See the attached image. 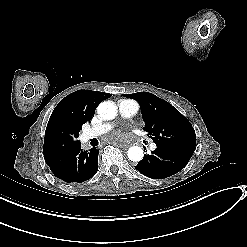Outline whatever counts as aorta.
I'll list each match as a JSON object with an SVG mask.
<instances>
[{
  "label": "aorta",
  "mask_w": 247,
  "mask_h": 247,
  "mask_svg": "<svg viewBox=\"0 0 247 247\" xmlns=\"http://www.w3.org/2000/svg\"><path fill=\"white\" fill-rule=\"evenodd\" d=\"M97 112L101 118L105 120H112L117 115V106L110 101H104L99 104ZM127 155L131 161L135 162L141 161L144 156L143 150L139 146L130 147Z\"/></svg>",
  "instance_id": "aorta-1"
}]
</instances>
